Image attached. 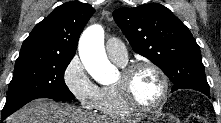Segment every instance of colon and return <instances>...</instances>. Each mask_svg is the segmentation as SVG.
<instances>
[{
    "label": "colon",
    "instance_id": "obj_1",
    "mask_svg": "<svg viewBox=\"0 0 221 123\" xmlns=\"http://www.w3.org/2000/svg\"><path fill=\"white\" fill-rule=\"evenodd\" d=\"M206 120L203 116L197 113H190L185 118V123H205Z\"/></svg>",
    "mask_w": 221,
    "mask_h": 123
}]
</instances>
